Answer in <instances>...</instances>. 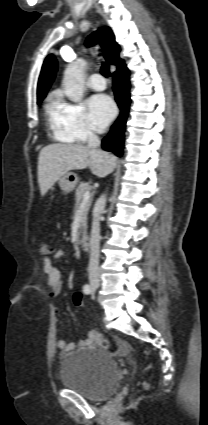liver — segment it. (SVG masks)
I'll return each instance as SVG.
<instances>
[{"instance_id":"1","label":"liver","mask_w":208,"mask_h":425,"mask_svg":"<svg viewBox=\"0 0 208 425\" xmlns=\"http://www.w3.org/2000/svg\"><path fill=\"white\" fill-rule=\"evenodd\" d=\"M116 157L82 145L55 143L43 147L38 157V183L44 196L57 180L71 170L87 167L97 177L113 171Z\"/></svg>"}]
</instances>
